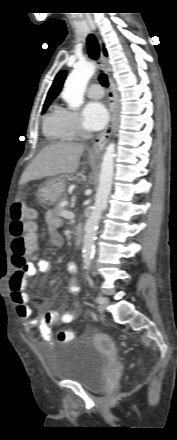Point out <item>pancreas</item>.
<instances>
[{
  "label": "pancreas",
  "mask_w": 177,
  "mask_h": 440,
  "mask_svg": "<svg viewBox=\"0 0 177 440\" xmlns=\"http://www.w3.org/2000/svg\"><path fill=\"white\" fill-rule=\"evenodd\" d=\"M65 199H66V197L64 196V197L61 198V199L56 203V205H55V208H54V214H55L56 216H58V217L61 216V212H62V210H64V209H63L64 207L61 206V203H62L63 201H65Z\"/></svg>",
  "instance_id": "1"
}]
</instances>
